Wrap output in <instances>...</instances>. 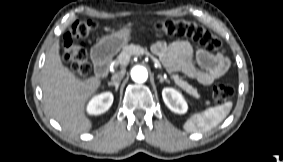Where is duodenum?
<instances>
[{"instance_id":"obj_1","label":"duodenum","mask_w":283,"mask_h":162,"mask_svg":"<svg viewBox=\"0 0 283 162\" xmlns=\"http://www.w3.org/2000/svg\"><path fill=\"white\" fill-rule=\"evenodd\" d=\"M95 70L98 76L104 77L108 74L111 66V56L103 48H98L94 52Z\"/></svg>"}]
</instances>
